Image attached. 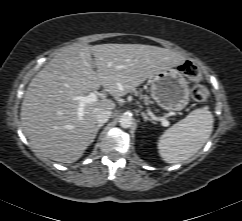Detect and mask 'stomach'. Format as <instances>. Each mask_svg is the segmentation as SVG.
<instances>
[{
    "label": "stomach",
    "mask_w": 242,
    "mask_h": 221,
    "mask_svg": "<svg viewBox=\"0 0 242 221\" xmlns=\"http://www.w3.org/2000/svg\"><path fill=\"white\" fill-rule=\"evenodd\" d=\"M152 98L164 110L179 111L190 100L188 82L182 71L168 68L150 78Z\"/></svg>",
    "instance_id": "1"
}]
</instances>
